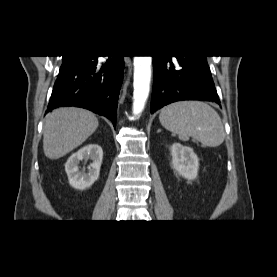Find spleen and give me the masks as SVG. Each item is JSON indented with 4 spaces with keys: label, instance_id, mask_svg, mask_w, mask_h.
<instances>
[{
    "label": "spleen",
    "instance_id": "obj_1",
    "mask_svg": "<svg viewBox=\"0 0 277 277\" xmlns=\"http://www.w3.org/2000/svg\"><path fill=\"white\" fill-rule=\"evenodd\" d=\"M164 128L181 140L192 137L208 147H216L225 139L224 127L218 113L199 101H181L164 107L159 115Z\"/></svg>",
    "mask_w": 277,
    "mask_h": 277
}]
</instances>
